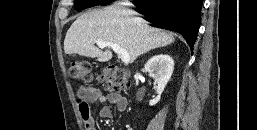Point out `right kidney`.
<instances>
[{
  "instance_id": "1",
  "label": "right kidney",
  "mask_w": 257,
  "mask_h": 130,
  "mask_svg": "<svg viewBox=\"0 0 257 130\" xmlns=\"http://www.w3.org/2000/svg\"><path fill=\"white\" fill-rule=\"evenodd\" d=\"M174 69V60L166 54L155 55L145 64V71L152 77L157 84V97L150 100L149 105L153 106L160 101Z\"/></svg>"
}]
</instances>
